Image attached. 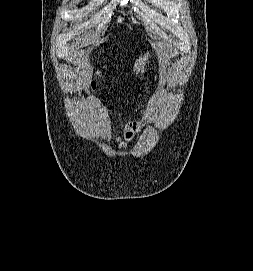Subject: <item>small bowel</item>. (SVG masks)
<instances>
[{
  "instance_id": "small-bowel-1",
  "label": "small bowel",
  "mask_w": 253,
  "mask_h": 271,
  "mask_svg": "<svg viewBox=\"0 0 253 271\" xmlns=\"http://www.w3.org/2000/svg\"><path fill=\"white\" fill-rule=\"evenodd\" d=\"M146 130L139 124H129L125 127L123 134L116 142L118 148H127L134 143L139 135H142Z\"/></svg>"
}]
</instances>
